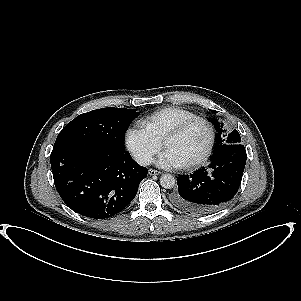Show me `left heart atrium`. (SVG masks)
Instances as JSON below:
<instances>
[{
	"label": "left heart atrium",
	"instance_id": "1",
	"mask_svg": "<svg viewBox=\"0 0 301 301\" xmlns=\"http://www.w3.org/2000/svg\"><path fill=\"white\" fill-rule=\"evenodd\" d=\"M157 164L168 169H181L187 163L171 150H165L158 158Z\"/></svg>",
	"mask_w": 301,
	"mask_h": 301
}]
</instances>
